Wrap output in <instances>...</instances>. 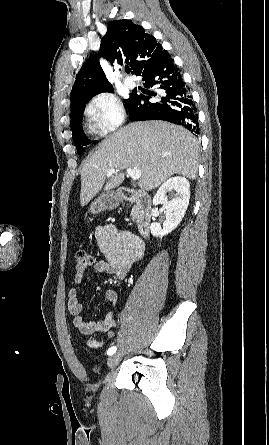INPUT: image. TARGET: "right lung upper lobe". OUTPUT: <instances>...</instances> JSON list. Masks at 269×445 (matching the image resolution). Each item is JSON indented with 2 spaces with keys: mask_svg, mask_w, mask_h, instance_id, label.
Returning <instances> with one entry per match:
<instances>
[{
  "mask_svg": "<svg viewBox=\"0 0 269 445\" xmlns=\"http://www.w3.org/2000/svg\"><path fill=\"white\" fill-rule=\"evenodd\" d=\"M167 54L142 26L126 19L110 22L101 39L99 55H91L78 73L71 91V107L89 101L96 94L113 91L100 66L99 56L111 64H129L132 74L138 76Z\"/></svg>",
  "mask_w": 269,
  "mask_h": 445,
  "instance_id": "right-lung-upper-lobe-1",
  "label": "right lung upper lobe"
}]
</instances>
